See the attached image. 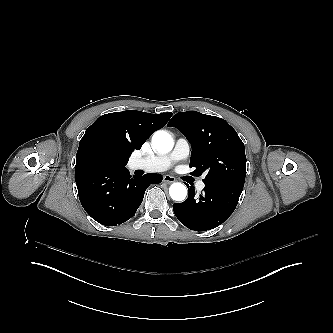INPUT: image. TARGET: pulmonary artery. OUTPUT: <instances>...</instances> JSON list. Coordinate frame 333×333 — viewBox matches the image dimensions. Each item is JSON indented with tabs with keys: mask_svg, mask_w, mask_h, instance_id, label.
<instances>
[{
	"mask_svg": "<svg viewBox=\"0 0 333 333\" xmlns=\"http://www.w3.org/2000/svg\"><path fill=\"white\" fill-rule=\"evenodd\" d=\"M190 151V145L187 139L183 137L178 138L171 152H167L166 155H156L153 158L146 159L143 163V168L146 171H167L178 161L188 158ZM203 178L204 175L197 183L199 189L203 187ZM165 191H167V188H165Z\"/></svg>",
	"mask_w": 333,
	"mask_h": 333,
	"instance_id": "e3ab8cb5",
	"label": "pulmonary artery"
}]
</instances>
